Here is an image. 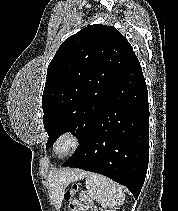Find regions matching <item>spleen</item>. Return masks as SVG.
Instances as JSON below:
<instances>
[{
	"instance_id": "obj_1",
	"label": "spleen",
	"mask_w": 178,
	"mask_h": 211,
	"mask_svg": "<svg viewBox=\"0 0 178 211\" xmlns=\"http://www.w3.org/2000/svg\"><path fill=\"white\" fill-rule=\"evenodd\" d=\"M88 194L93 200L98 201L103 208L120 206L124 203L125 196L120 185L113 180L92 172L84 173Z\"/></svg>"
}]
</instances>
